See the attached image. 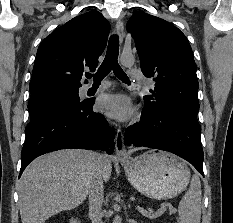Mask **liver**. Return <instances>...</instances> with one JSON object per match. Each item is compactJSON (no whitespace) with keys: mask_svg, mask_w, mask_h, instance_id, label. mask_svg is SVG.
<instances>
[{"mask_svg":"<svg viewBox=\"0 0 233 223\" xmlns=\"http://www.w3.org/2000/svg\"><path fill=\"white\" fill-rule=\"evenodd\" d=\"M93 151L60 149L36 157L24 169L18 183L22 223H45L51 215L74 209L88 195ZM102 177L112 173L109 155H104Z\"/></svg>","mask_w":233,"mask_h":223,"instance_id":"1","label":"liver"}]
</instances>
